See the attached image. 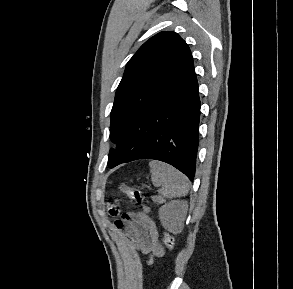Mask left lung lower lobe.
Instances as JSON below:
<instances>
[{
    "label": "left lung lower lobe",
    "mask_w": 293,
    "mask_h": 289,
    "mask_svg": "<svg viewBox=\"0 0 293 289\" xmlns=\"http://www.w3.org/2000/svg\"><path fill=\"white\" fill-rule=\"evenodd\" d=\"M200 99L194 66L147 108L118 143L123 163L141 158L166 162L194 180Z\"/></svg>",
    "instance_id": "1"
}]
</instances>
